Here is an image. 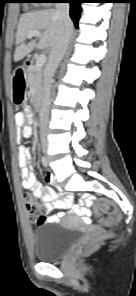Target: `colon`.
<instances>
[{"label":"colon","instance_id":"1","mask_svg":"<svg viewBox=\"0 0 136 296\" xmlns=\"http://www.w3.org/2000/svg\"><path fill=\"white\" fill-rule=\"evenodd\" d=\"M94 207L108 216L107 221L109 224L118 221L120 218V213L118 209L108 199H105V198L98 199L94 203ZM25 208L29 216L37 224H45L47 222V215L45 213L43 204L41 203V201L36 199L32 194L27 193L25 195ZM99 240H100V237L91 236L82 245L81 249L83 251H89L94 247L95 243Z\"/></svg>","mask_w":136,"mask_h":296}]
</instances>
